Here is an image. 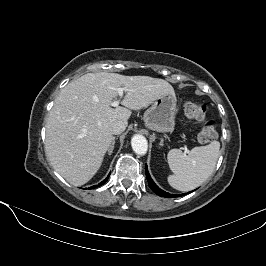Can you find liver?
I'll return each mask as SVG.
<instances>
[{
	"label": "liver",
	"instance_id": "1",
	"mask_svg": "<svg viewBox=\"0 0 266 266\" xmlns=\"http://www.w3.org/2000/svg\"><path fill=\"white\" fill-rule=\"evenodd\" d=\"M119 87L126 89L124 107L112 108ZM164 95L176 98L167 81L149 76L99 72L71 81L47 118L45 152L50 164L70 184L87 183L112 144L110 123L122 120L127 125L131 110H140Z\"/></svg>",
	"mask_w": 266,
	"mask_h": 266
}]
</instances>
